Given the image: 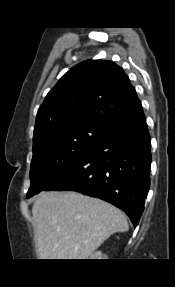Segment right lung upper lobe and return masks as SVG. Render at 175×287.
Wrapping results in <instances>:
<instances>
[{"mask_svg": "<svg viewBox=\"0 0 175 287\" xmlns=\"http://www.w3.org/2000/svg\"><path fill=\"white\" fill-rule=\"evenodd\" d=\"M142 108L123 69L111 61L87 60L69 70L40 106L34 139L63 125H111Z\"/></svg>", "mask_w": 175, "mask_h": 287, "instance_id": "cb5924a9", "label": "right lung upper lobe"}]
</instances>
